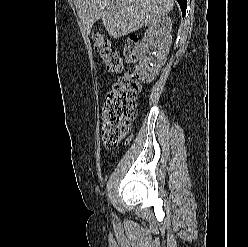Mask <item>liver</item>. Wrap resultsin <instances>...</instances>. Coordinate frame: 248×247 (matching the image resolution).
Listing matches in <instances>:
<instances>
[{
  "label": "liver",
  "mask_w": 248,
  "mask_h": 247,
  "mask_svg": "<svg viewBox=\"0 0 248 247\" xmlns=\"http://www.w3.org/2000/svg\"><path fill=\"white\" fill-rule=\"evenodd\" d=\"M75 7L87 35L97 20L109 36L119 38L167 15L174 0H75Z\"/></svg>",
  "instance_id": "liver-1"
}]
</instances>
